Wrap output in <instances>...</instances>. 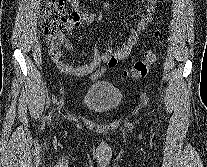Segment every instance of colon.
Segmentation results:
<instances>
[{
	"label": "colon",
	"mask_w": 207,
	"mask_h": 167,
	"mask_svg": "<svg viewBox=\"0 0 207 167\" xmlns=\"http://www.w3.org/2000/svg\"><path fill=\"white\" fill-rule=\"evenodd\" d=\"M42 30L48 43L57 44L63 36V30L69 25V20L62 0H44L42 9ZM157 35L160 34L158 30ZM156 53L148 52L145 58L138 61L130 70L125 71V76L131 78L145 77L156 62Z\"/></svg>",
	"instance_id": "obj_1"
}]
</instances>
